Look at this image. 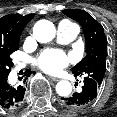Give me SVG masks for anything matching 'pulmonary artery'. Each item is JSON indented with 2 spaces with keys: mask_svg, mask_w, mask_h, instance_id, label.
Masks as SVG:
<instances>
[{
  "mask_svg": "<svg viewBox=\"0 0 117 117\" xmlns=\"http://www.w3.org/2000/svg\"><path fill=\"white\" fill-rule=\"evenodd\" d=\"M79 33V27L70 21H61L57 27V41L59 43L72 42Z\"/></svg>",
  "mask_w": 117,
  "mask_h": 117,
  "instance_id": "1",
  "label": "pulmonary artery"
}]
</instances>
